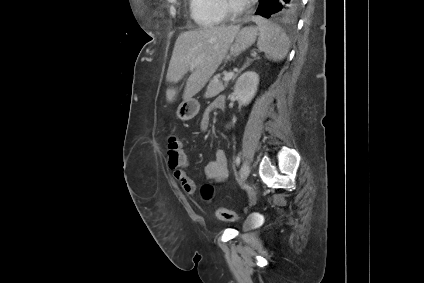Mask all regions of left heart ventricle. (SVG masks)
Listing matches in <instances>:
<instances>
[{
  "label": "left heart ventricle",
  "instance_id": "b2bd125f",
  "mask_svg": "<svg viewBox=\"0 0 424 283\" xmlns=\"http://www.w3.org/2000/svg\"><path fill=\"white\" fill-rule=\"evenodd\" d=\"M232 3L235 4V5H237V6L242 5V4L237 3L235 0H232Z\"/></svg>",
  "mask_w": 424,
  "mask_h": 283
}]
</instances>
